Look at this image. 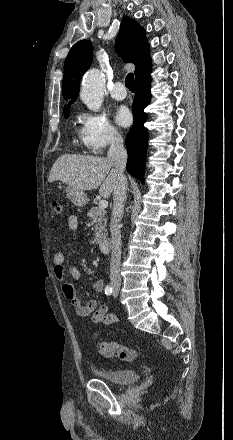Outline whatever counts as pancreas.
Returning a JSON list of instances; mask_svg holds the SVG:
<instances>
[{
  "label": "pancreas",
  "instance_id": "1",
  "mask_svg": "<svg viewBox=\"0 0 233 440\" xmlns=\"http://www.w3.org/2000/svg\"><path fill=\"white\" fill-rule=\"evenodd\" d=\"M106 211L99 207H92L87 216L91 220V224L95 225V242L99 243L105 238V226L107 218L105 217Z\"/></svg>",
  "mask_w": 233,
  "mask_h": 440
}]
</instances>
